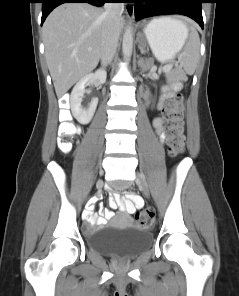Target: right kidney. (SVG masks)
<instances>
[{
  "label": "right kidney",
  "mask_w": 239,
  "mask_h": 296,
  "mask_svg": "<svg viewBox=\"0 0 239 296\" xmlns=\"http://www.w3.org/2000/svg\"><path fill=\"white\" fill-rule=\"evenodd\" d=\"M106 77V71L100 69L95 73L85 75L74 86L70 95V105L72 114L79 123L88 124L91 121L98 104V98L94 97L88 107H83L81 105L85 93V87L96 82H98V84H103L106 81Z\"/></svg>",
  "instance_id": "1"
}]
</instances>
